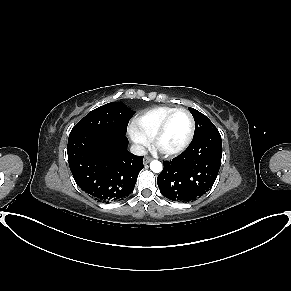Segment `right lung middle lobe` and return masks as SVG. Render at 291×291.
Returning <instances> with one entry per match:
<instances>
[{
    "label": "right lung middle lobe",
    "instance_id": "obj_1",
    "mask_svg": "<svg viewBox=\"0 0 291 291\" xmlns=\"http://www.w3.org/2000/svg\"><path fill=\"white\" fill-rule=\"evenodd\" d=\"M134 111L122 103L111 102L89 112L71 130L70 135L82 132H115L126 135Z\"/></svg>",
    "mask_w": 291,
    "mask_h": 291
}]
</instances>
